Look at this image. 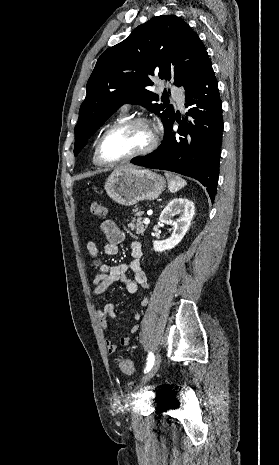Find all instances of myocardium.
Listing matches in <instances>:
<instances>
[{
    "instance_id": "obj_1",
    "label": "myocardium",
    "mask_w": 279,
    "mask_h": 465,
    "mask_svg": "<svg viewBox=\"0 0 279 465\" xmlns=\"http://www.w3.org/2000/svg\"><path fill=\"white\" fill-rule=\"evenodd\" d=\"M134 124L144 125L150 130L151 137H150L149 143L143 149H141V150H139V151H137L135 153H132L130 155H127L125 157H122L120 159H116V160L107 159L103 155V144H104V141L107 138V136L116 129L126 127V126H129V125H134ZM158 140H159L158 130H157L156 126L149 119H147L145 117H141V116L129 117V118L122 119V120H120V121H118V122H116L114 124H111L110 126H108L103 131V133L99 137V140H98L97 145H96V154H97L98 160L100 161L101 164H103V165H117V164L125 163V162L131 161L133 159L143 157L145 155L150 154L157 147Z\"/></svg>"
}]
</instances>
